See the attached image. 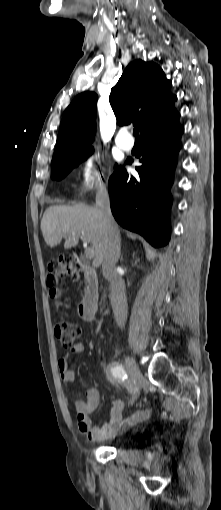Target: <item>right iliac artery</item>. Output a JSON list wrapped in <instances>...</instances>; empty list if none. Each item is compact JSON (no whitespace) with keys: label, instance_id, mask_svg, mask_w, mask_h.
Here are the masks:
<instances>
[{"label":"right iliac artery","instance_id":"obj_1","mask_svg":"<svg viewBox=\"0 0 221 510\" xmlns=\"http://www.w3.org/2000/svg\"><path fill=\"white\" fill-rule=\"evenodd\" d=\"M111 374L114 378H117L121 381H124L127 378L126 371L119 363H114L113 367L111 368Z\"/></svg>","mask_w":221,"mask_h":510}]
</instances>
